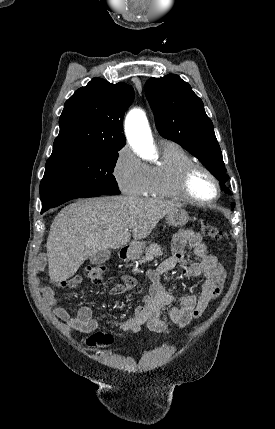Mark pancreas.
<instances>
[{
    "label": "pancreas",
    "mask_w": 275,
    "mask_h": 429,
    "mask_svg": "<svg viewBox=\"0 0 275 429\" xmlns=\"http://www.w3.org/2000/svg\"><path fill=\"white\" fill-rule=\"evenodd\" d=\"M163 254L161 247L158 244H151L148 248H146L145 256L139 261L140 263H145L147 261H151L154 257L161 256Z\"/></svg>",
    "instance_id": "1"
}]
</instances>
